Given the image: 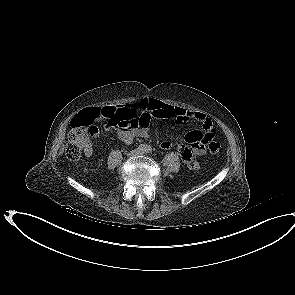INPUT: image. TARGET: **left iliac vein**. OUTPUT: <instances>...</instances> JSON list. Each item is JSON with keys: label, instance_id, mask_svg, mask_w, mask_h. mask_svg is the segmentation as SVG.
<instances>
[{"label": "left iliac vein", "instance_id": "obj_1", "mask_svg": "<svg viewBox=\"0 0 295 295\" xmlns=\"http://www.w3.org/2000/svg\"><path fill=\"white\" fill-rule=\"evenodd\" d=\"M140 154H143V151H139Z\"/></svg>", "mask_w": 295, "mask_h": 295}]
</instances>
